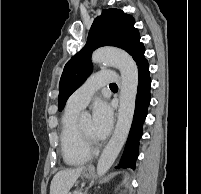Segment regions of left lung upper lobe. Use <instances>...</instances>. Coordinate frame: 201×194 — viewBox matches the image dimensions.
Listing matches in <instances>:
<instances>
[{
    "label": "left lung upper lobe",
    "instance_id": "left-lung-upper-lobe-1",
    "mask_svg": "<svg viewBox=\"0 0 201 194\" xmlns=\"http://www.w3.org/2000/svg\"><path fill=\"white\" fill-rule=\"evenodd\" d=\"M134 18L120 9H105L95 18L84 48L65 65L60 79L58 99L62 111L69 96L79 88L92 71V52L102 46L119 47L130 55L140 42L139 31L134 27Z\"/></svg>",
    "mask_w": 201,
    "mask_h": 194
}]
</instances>
